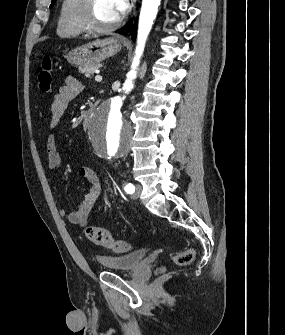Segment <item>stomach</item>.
I'll return each mask as SVG.
<instances>
[{"mask_svg": "<svg viewBox=\"0 0 285 335\" xmlns=\"http://www.w3.org/2000/svg\"><path fill=\"white\" fill-rule=\"evenodd\" d=\"M122 46L118 40L114 38H104V40H95L89 42L85 46L74 48L66 54V60L69 64L83 68V66H92V64H100L106 58H111L120 52Z\"/></svg>", "mask_w": 285, "mask_h": 335, "instance_id": "1", "label": "stomach"}]
</instances>
